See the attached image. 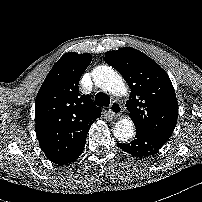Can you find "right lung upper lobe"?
Wrapping results in <instances>:
<instances>
[{"mask_svg": "<svg viewBox=\"0 0 202 202\" xmlns=\"http://www.w3.org/2000/svg\"><path fill=\"white\" fill-rule=\"evenodd\" d=\"M89 53H67L48 73L35 99L36 135L52 162L71 154L89 125L101 116L88 95L78 90L79 80L91 63Z\"/></svg>", "mask_w": 202, "mask_h": 202, "instance_id": "1", "label": "right lung upper lobe"}]
</instances>
